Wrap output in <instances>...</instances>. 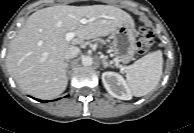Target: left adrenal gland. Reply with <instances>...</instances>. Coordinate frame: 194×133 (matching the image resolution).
Masks as SVG:
<instances>
[{
	"mask_svg": "<svg viewBox=\"0 0 194 133\" xmlns=\"http://www.w3.org/2000/svg\"><path fill=\"white\" fill-rule=\"evenodd\" d=\"M102 63L104 68L113 67L110 63L107 62L105 58H103Z\"/></svg>",
	"mask_w": 194,
	"mask_h": 133,
	"instance_id": "obj_1",
	"label": "left adrenal gland"
}]
</instances>
